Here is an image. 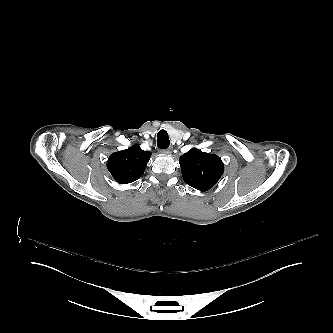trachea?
Instances as JSON below:
<instances>
[{
    "mask_svg": "<svg viewBox=\"0 0 333 333\" xmlns=\"http://www.w3.org/2000/svg\"><path fill=\"white\" fill-rule=\"evenodd\" d=\"M169 145L170 141L167 132L164 129L160 130L157 134V146L161 150H165L169 148Z\"/></svg>",
    "mask_w": 333,
    "mask_h": 333,
    "instance_id": "1",
    "label": "trachea"
}]
</instances>
